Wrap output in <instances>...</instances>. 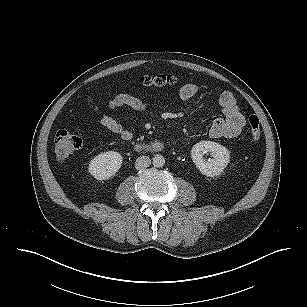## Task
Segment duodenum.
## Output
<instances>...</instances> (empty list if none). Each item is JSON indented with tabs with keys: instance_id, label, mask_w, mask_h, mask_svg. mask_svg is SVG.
Returning <instances> with one entry per match:
<instances>
[{
	"instance_id": "410a0bca",
	"label": "duodenum",
	"mask_w": 307,
	"mask_h": 307,
	"mask_svg": "<svg viewBox=\"0 0 307 307\" xmlns=\"http://www.w3.org/2000/svg\"><path fill=\"white\" fill-rule=\"evenodd\" d=\"M136 148L139 150H147L151 152H160L163 149V146L158 141H152V142H139L136 145Z\"/></svg>"
}]
</instances>
